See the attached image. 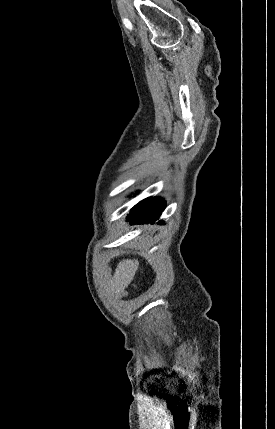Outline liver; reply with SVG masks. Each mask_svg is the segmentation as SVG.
<instances>
[{"mask_svg": "<svg viewBox=\"0 0 275 429\" xmlns=\"http://www.w3.org/2000/svg\"><path fill=\"white\" fill-rule=\"evenodd\" d=\"M138 268V261L126 259L117 265L114 275L111 277V286L116 291H123L132 281Z\"/></svg>", "mask_w": 275, "mask_h": 429, "instance_id": "obj_1", "label": "liver"}]
</instances>
